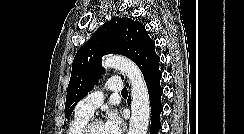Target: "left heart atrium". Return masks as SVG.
<instances>
[{"mask_svg":"<svg viewBox=\"0 0 244 134\" xmlns=\"http://www.w3.org/2000/svg\"><path fill=\"white\" fill-rule=\"evenodd\" d=\"M103 126L106 134H122V121L117 114H109Z\"/></svg>","mask_w":244,"mask_h":134,"instance_id":"left-heart-atrium-1","label":"left heart atrium"}]
</instances>
